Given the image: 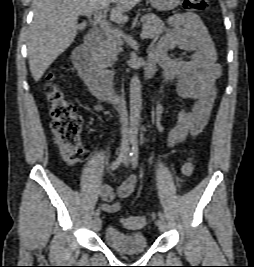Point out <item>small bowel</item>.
Masks as SVG:
<instances>
[{
	"label": "small bowel",
	"instance_id": "1",
	"mask_svg": "<svg viewBox=\"0 0 254 267\" xmlns=\"http://www.w3.org/2000/svg\"><path fill=\"white\" fill-rule=\"evenodd\" d=\"M170 31L151 49L149 57L162 67L163 88L168 84L177 86L178 94L193 100L190 110H181L169 132L168 145L174 146L188 136L196 137L207 125L216 97L215 81L221 74V66L216 62L214 43L201 18L194 13H177L169 17ZM179 47L191 52L190 60H177L168 55V51ZM97 111L102 110L100 102L94 104ZM162 105H158L155 121L162 130ZM137 178L131 175L117 190L119 198H128L136 185ZM98 193L104 203L101 209L108 213L119 212L121 202H115V193L108 184H101Z\"/></svg>",
	"mask_w": 254,
	"mask_h": 267
}]
</instances>
